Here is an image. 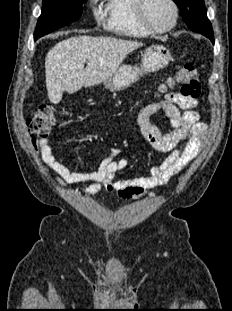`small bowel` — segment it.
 Wrapping results in <instances>:
<instances>
[{"label": "small bowel", "instance_id": "obj_1", "mask_svg": "<svg viewBox=\"0 0 232 311\" xmlns=\"http://www.w3.org/2000/svg\"><path fill=\"white\" fill-rule=\"evenodd\" d=\"M197 106V100L171 92L138 112L137 123L145 140L154 150L169 152L151 167L147 176L118 179L117 173L126 169L129 161L126 158L114 159L119 156L116 149L111 150L97 166L84 168L66 156L59 160L54 154L50 140L45 137L31 135L30 142L46 166L56 174V179L62 186L67 183H88L84 188L88 195L106 189L117 192L122 199L136 200L142 198L147 190L165 185L199 154L207 135V127L200 121L195 110ZM159 111L169 118L174 127L173 131L162 133L151 122V117ZM72 135L77 136L79 132Z\"/></svg>", "mask_w": 232, "mask_h": 311}]
</instances>
